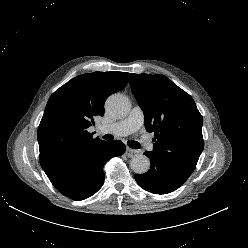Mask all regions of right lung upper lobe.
I'll return each instance as SVG.
<instances>
[{"mask_svg": "<svg viewBox=\"0 0 248 248\" xmlns=\"http://www.w3.org/2000/svg\"><path fill=\"white\" fill-rule=\"evenodd\" d=\"M126 72H94L79 75L49 98L38 127L40 164L46 174L80 147L100 142L87 128L104 115L106 98L123 89Z\"/></svg>", "mask_w": 248, "mask_h": 248, "instance_id": "obj_1", "label": "right lung upper lobe"}]
</instances>
